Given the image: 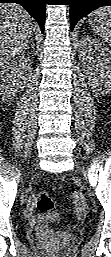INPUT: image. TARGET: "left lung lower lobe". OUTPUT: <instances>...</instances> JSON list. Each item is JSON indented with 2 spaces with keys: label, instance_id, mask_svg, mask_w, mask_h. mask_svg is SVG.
<instances>
[{
  "label": "left lung lower lobe",
  "instance_id": "0a47b994",
  "mask_svg": "<svg viewBox=\"0 0 111 257\" xmlns=\"http://www.w3.org/2000/svg\"><path fill=\"white\" fill-rule=\"evenodd\" d=\"M71 30L76 23L91 11L102 6H111V0H71Z\"/></svg>",
  "mask_w": 111,
  "mask_h": 257
}]
</instances>
